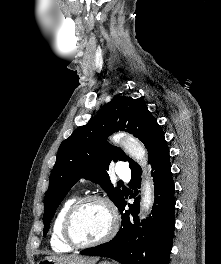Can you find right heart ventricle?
Listing matches in <instances>:
<instances>
[{"mask_svg": "<svg viewBox=\"0 0 221 264\" xmlns=\"http://www.w3.org/2000/svg\"><path fill=\"white\" fill-rule=\"evenodd\" d=\"M76 201V197L68 198L59 209L52 225L51 235H50V245L52 249L56 252H69L73 248L68 245L62 234V225L65 214L69 207Z\"/></svg>", "mask_w": 221, "mask_h": 264, "instance_id": "right-heart-ventricle-1", "label": "right heart ventricle"}]
</instances>
